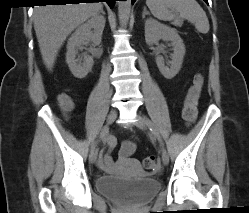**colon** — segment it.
<instances>
[{"instance_id": "colon-1", "label": "colon", "mask_w": 249, "mask_h": 213, "mask_svg": "<svg viewBox=\"0 0 249 213\" xmlns=\"http://www.w3.org/2000/svg\"><path fill=\"white\" fill-rule=\"evenodd\" d=\"M204 77L198 73L194 77L193 84L189 87L184 99L182 108V117L188 122L192 123L197 117V104L202 91ZM59 104L63 111L70 112L74 108L73 101L66 95H60ZM143 166L146 170H157L160 166L159 158L156 156H148L143 161Z\"/></svg>"}]
</instances>
